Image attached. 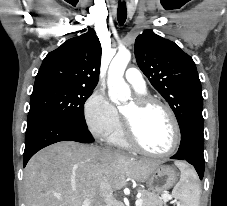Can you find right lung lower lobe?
Listing matches in <instances>:
<instances>
[{
  "instance_id": "98d812e1",
  "label": "right lung lower lobe",
  "mask_w": 227,
  "mask_h": 206,
  "mask_svg": "<svg viewBox=\"0 0 227 206\" xmlns=\"http://www.w3.org/2000/svg\"><path fill=\"white\" fill-rule=\"evenodd\" d=\"M77 141L91 143L92 136L86 131L84 125L69 120L42 118L27 125L23 166L40 149L59 141Z\"/></svg>"
}]
</instances>
